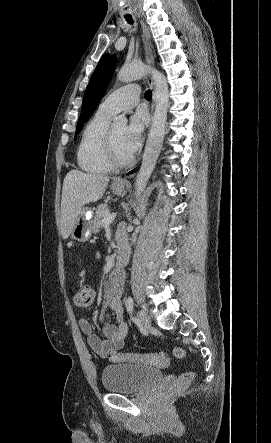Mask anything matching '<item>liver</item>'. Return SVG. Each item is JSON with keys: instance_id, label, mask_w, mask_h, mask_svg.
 <instances>
[{"instance_id": "1", "label": "liver", "mask_w": 271, "mask_h": 443, "mask_svg": "<svg viewBox=\"0 0 271 443\" xmlns=\"http://www.w3.org/2000/svg\"><path fill=\"white\" fill-rule=\"evenodd\" d=\"M108 176L84 174L71 170L64 178L61 198V235L69 237L76 220L82 214L83 206L98 202L106 192Z\"/></svg>"}]
</instances>
